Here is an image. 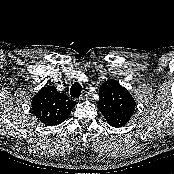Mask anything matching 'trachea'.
<instances>
[{"label":"trachea","mask_w":174,"mask_h":174,"mask_svg":"<svg viewBox=\"0 0 174 174\" xmlns=\"http://www.w3.org/2000/svg\"><path fill=\"white\" fill-rule=\"evenodd\" d=\"M82 86L80 83L75 82L70 89L71 97L78 98L81 95Z\"/></svg>","instance_id":"1"}]
</instances>
